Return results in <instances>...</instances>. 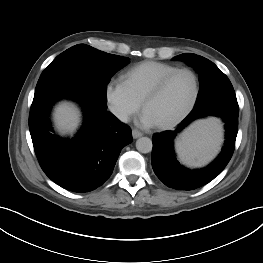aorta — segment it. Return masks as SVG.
Listing matches in <instances>:
<instances>
[{
	"label": "aorta",
	"mask_w": 263,
	"mask_h": 263,
	"mask_svg": "<svg viewBox=\"0 0 263 263\" xmlns=\"http://www.w3.org/2000/svg\"><path fill=\"white\" fill-rule=\"evenodd\" d=\"M152 141L148 137H141L136 141V149L140 153H149L152 151Z\"/></svg>",
	"instance_id": "1"
}]
</instances>
